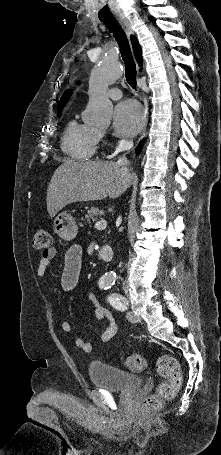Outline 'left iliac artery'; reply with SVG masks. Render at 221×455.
<instances>
[{"label": "left iliac artery", "mask_w": 221, "mask_h": 455, "mask_svg": "<svg viewBox=\"0 0 221 455\" xmlns=\"http://www.w3.org/2000/svg\"><path fill=\"white\" fill-rule=\"evenodd\" d=\"M105 287L104 289H108ZM107 301L117 310L124 311L127 309L128 301L127 299L119 293H112L107 297Z\"/></svg>", "instance_id": "left-iliac-artery-1"}]
</instances>
